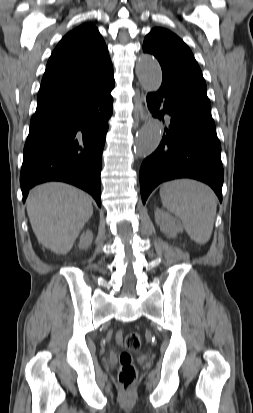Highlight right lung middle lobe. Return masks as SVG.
I'll list each match as a JSON object with an SVG mask.
<instances>
[{
    "label": "right lung middle lobe",
    "mask_w": 253,
    "mask_h": 413,
    "mask_svg": "<svg viewBox=\"0 0 253 413\" xmlns=\"http://www.w3.org/2000/svg\"><path fill=\"white\" fill-rule=\"evenodd\" d=\"M49 117H32L30 121V128L42 125L48 121Z\"/></svg>",
    "instance_id": "right-lung-middle-lobe-1"
}]
</instances>
